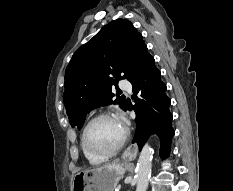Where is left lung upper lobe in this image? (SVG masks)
<instances>
[{
	"mask_svg": "<svg viewBox=\"0 0 233 191\" xmlns=\"http://www.w3.org/2000/svg\"><path fill=\"white\" fill-rule=\"evenodd\" d=\"M148 55L142 35L123 19L107 24L82 45L65 71L63 100L71 126L80 129L87 113L98 106L117 103L126 110L124 96L113 101L112 85L129 80Z\"/></svg>",
	"mask_w": 233,
	"mask_h": 191,
	"instance_id": "left-lung-upper-lobe-1",
	"label": "left lung upper lobe"
}]
</instances>
